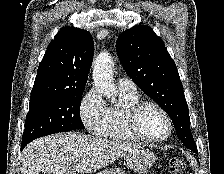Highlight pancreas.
I'll return each mask as SVG.
<instances>
[{"label": "pancreas", "instance_id": "pancreas-1", "mask_svg": "<svg viewBox=\"0 0 224 174\" xmlns=\"http://www.w3.org/2000/svg\"><path fill=\"white\" fill-rule=\"evenodd\" d=\"M108 171H112L113 173H111V174H117V171H115V170H108ZM98 174H100V173H98Z\"/></svg>", "mask_w": 224, "mask_h": 174}]
</instances>
